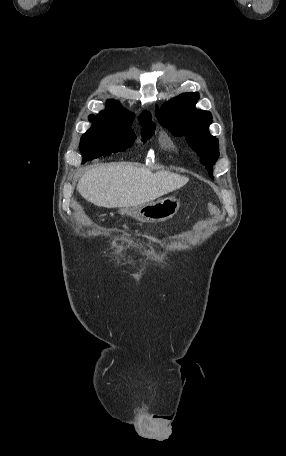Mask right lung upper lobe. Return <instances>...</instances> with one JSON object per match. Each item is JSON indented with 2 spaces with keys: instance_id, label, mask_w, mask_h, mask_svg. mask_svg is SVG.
I'll return each mask as SVG.
<instances>
[{
  "instance_id": "cb5924a9",
  "label": "right lung upper lobe",
  "mask_w": 286,
  "mask_h": 456,
  "mask_svg": "<svg viewBox=\"0 0 286 456\" xmlns=\"http://www.w3.org/2000/svg\"><path fill=\"white\" fill-rule=\"evenodd\" d=\"M101 115H107L116 119L124 120V121H133L134 115L133 113L125 111L119 102L115 100H109L107 102V107L105 110L100 112ZM140 122L150 120L151 121V114L147 111L143 112L139 118Z\"/></svg>"
}]
</instances>
